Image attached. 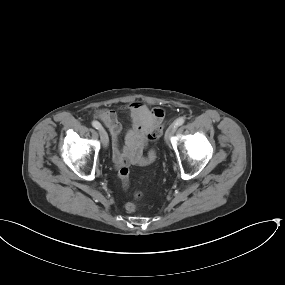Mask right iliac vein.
I'll return each mask as SVG.
<instances>
[{"mask_svg":"<svg viewBox=\"0 0 285 285\" xmlns=\"http://www.w3.org/2000/svg\"><path fill=\"white\" fill-rule=\"evenodd\" d=\"M99 134H100V138H101V141L103 143V146L107 147L108 142H109V138H108V134H107L106 130L103 127L99 128Z\"/></svg>","mask_w":285,"mask_h":285,"instance_id":"63e3f726","label":"right iliac vein"}]
</instances>
